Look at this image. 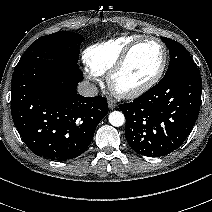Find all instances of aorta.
I'll return each instance as SVG.
<instances>
[{
  "label": "aorta",
  "mask_w": 212,
  "mask_h": 212,
  "mask_svg": "<svg viewBox=\"0 0 212 212\" xmlns=\"http://www.w3.org/2000/svg\"><path fill=\"white\" fill-rule=\"evenodd\" d=\"M109 123L112 126L120 127L125 122L124 114L120 111H113L108 116Z\"/></svg>",
  "instance_id": "aorta-1"
}]
</instances>
